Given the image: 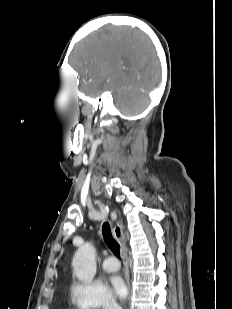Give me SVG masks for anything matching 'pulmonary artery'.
Listing matches in <instances>:
<instances>
[{"label":"pulmonary artery","instance_id":"e3ab8cb5","mask_svg":"<svg viewBox=\"0 0 232 309\" xmlns=\"http://www.w3.org/2000/svg\"><path fill=\"white\" fill-rule=\"evenodd\" d=\"M102 268L107 272H114L119 269V262L114 257H107L102 262Z\"/></svg>","mask_w":232,"mask_h":309}]
</instances>
